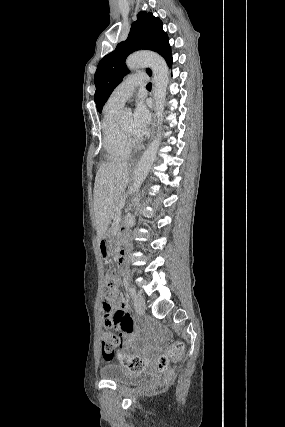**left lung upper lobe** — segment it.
Returning <instances> with one entry per match:
<instances>
[{"label":"left lung upper lobe","instance_id":"obj_1","mask_svg":"<svg viewBox=\"0 0 285 427\" xmlns=\"http://www.w3.org/2000/svg\"><path fill=\"white\" fill-rule=\"evenodd\" d=\"M162 27L161 20L154 17L152 13L139 12L137 20L131 25L127 40L120 42L113 52L99 62L95 73L94 95L99 113L112 91L128 73L125 60L130 53L147 49L160 54L166 62L172 58L168 36Z\"/></svg>","mask_w":285,"mask_h":427}]
</instances>
